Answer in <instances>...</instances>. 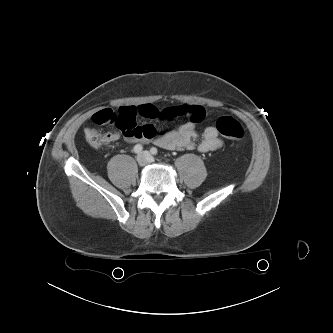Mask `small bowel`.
Listing matches in <instances>:
<instances>
[{
	"label": "small bowel",
	"mask_w": 333,
	"mask_h": 333,
	"mask_svg": "<svg viewBox=\"0 0 333 333\" xmlns=\"http://www.w3.org/2000/svg\"><path fill=\"white\" fill-rule=\"evenodd\" d=\"M136 113L149 120L172 122L184 119L185 122L176 128L158 129L153 124L137 125L132 131H122L126 141L131 143L150 142L167 150L195 149L207 153L220 149L223 141L215 127H207L201 134L195 125L204 120L206 111L198 105L184 104L158 110L151 104L133 107ZM109 143L119 139L118 132L107 133Z\"/></svg>",
	"instance_id": "c3829d8e"
}]
</instances>
